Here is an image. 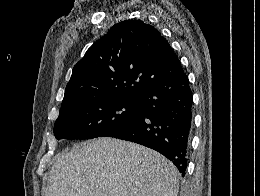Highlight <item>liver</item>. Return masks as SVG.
I'll return each instance as SVG.
<instances>
[{
  "label": "liver",
  "mask_w": 260,
  "mask_h": 196,
  "mask_svg": "<svg viewBox=\"0 0 260 196\" xmlns=\"http://www.w3.org/2000/svg\"><path fill=\"white\" fill-rule=\"evenodd\" d=\"M179 176L150 148L99 138L58 154L45 196H178Z\"/></svg>",
  "instance_id": "1"
}]
</instances>
